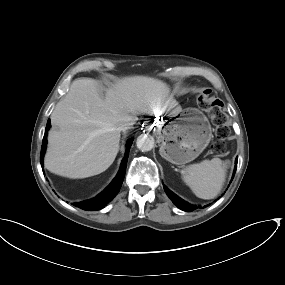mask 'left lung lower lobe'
Instances as JSON below:
<instances>
[{
    "instance_id": "left-lung-lower-lobe-1",
    "label": "left lung lower lobe",
    "mask_w": 285,
    "mask_h": 285,
    "mask_svg": "<svg viewBox=\"0 0 285 285\" xmlns=\"http://www.w3.org/2000/svg\"><path fill=\"white\" fill-rule=\"evenodd\" d=\"M236 163H237V159H236ZM236 168L237 166H235L234 169V174L236 172ZM233 174V177H234ZM232 177V178H233ZM164 190L166 192V194L169 196V198L172 200V202L181 210L186 211V212H191L193 210L196 209V206L191 205L187 202H185L183 199H181L180 197H178L177 195H175L172 191H170L165 185H163Z\"/></svg>"
}]
</instances>
